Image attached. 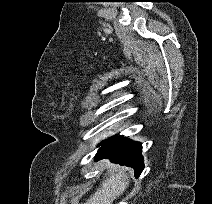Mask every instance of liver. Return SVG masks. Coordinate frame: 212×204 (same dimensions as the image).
<instances>
[{"label":"liver","instance_id":"obj_1","mask_svg":"<svg viewBox=\"0 0 212 204\" xmlns=\"http://www.w3.org/2000/svg\"><path fill=\"white\" fill-rule=\"evenodd\" d=\"M103 165L106 166L110 176L84 204H112L129 185L127 168L110 164L106 160L103 161Z\"/></svg>","mask_w":212,"mask_h":204}]
</instances>
